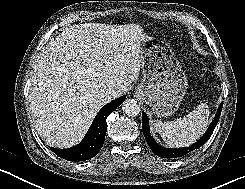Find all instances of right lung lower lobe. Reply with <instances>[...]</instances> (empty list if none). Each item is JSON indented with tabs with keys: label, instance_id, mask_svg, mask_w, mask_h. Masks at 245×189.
<instances>
[{
	"label": "right lung lower lobe",
	"instance_id": "obj_1",
	"mask_svg": "<svg viewBox=\"0 0 245 189\" xmlns=\"http://www.w3.org/2000/svg\"><path fill=\"white\" fill-rule=\"evenodd\" d=\"M125 98V96H122L111 101L98 112L81 143L69 149H56L53 147H50V149L58 157L68 161H86L96 156L104 144L107 130L106 118L122 104Z\"/></svg>",
	"mask_w": 245,
	"mask_h": 189
}]
</instances>
